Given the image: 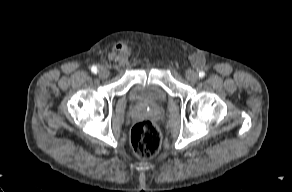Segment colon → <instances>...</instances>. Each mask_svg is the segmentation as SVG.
<instances>
[{"instance_id":"1","label":"colon","mask_w":292,"mask_h":192,"mask_svg":"<svg viewBox=\"0 0 292 192\" xmlns=\"http://www.w3.org/2000/svg\"><path fill=\"white\" fill-rule=\"evenodd\" d=\"M131 145L138 158L154 157L161 146V137L156 126L148 120L135 124L131 131Z\"/></svg>"}]
</instances>
